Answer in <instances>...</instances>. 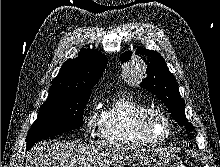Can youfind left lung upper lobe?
Returning <instances> with one entry per match:
<instances>
[{"label": "left lung upper lobe", "mask_w": 220, "mask_h": 167, "mask_svg": "<svg viewBox=\"0 0 220 167\" xmlns=\"http://www.w3.org/2000/svg\"><path fill=\"white\" fill-rule=\"evenodd\" d=\"M136 52L148 64L146 77L143 79L141 86L152 92L164 103L180 126L184 125L186 130L192 131L193 126L187 122L185 117L184 100L179 93L176 79L167 68L163 57L156 51L144 48H138ZM131 55V52H126L121 55L120 59L123 62H127L131 59Z\"/></svg>", "instance_id": "1"}]
</instances>
